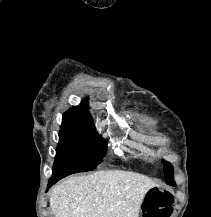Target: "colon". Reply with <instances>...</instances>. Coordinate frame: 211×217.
<instances>
[{
    "instance_id": "1",
    "label": "colon",
    "mask_w": 211,
    "mask_h": 217,
    "mask_svg": "<svg viewBox=\"0 0 211 217\" xmlns=\"http://www.w3.org/2000/svg\"><path fill=\"white\" fill-rule=\"evenodd\" d=\"M172 195L164 190L151 189L144 202V217H169L172 212Z\"/></svg>"
}]
</instances>
